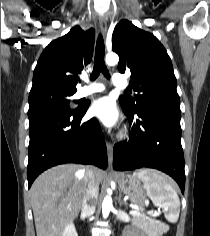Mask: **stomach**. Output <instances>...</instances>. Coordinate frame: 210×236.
Masks as SVG:
<instances>
[{
    "label": "stomach",
    "mask_w": 210,
    "mask_h": 236,
    "mask_svg": "<svg viewBox=\"0 0 210 236\" xmlns=\"http://www.w3.org/2000/svg\"><path fill=\"white\" fill-rule=\"evenodd\" d=\"M120 190L127 195L131 201L143 206L147 197L142 180L135 175L121 174L116 177Z\"/></svg>",
    "instance_id": "obj_1"
}]
</instances>
